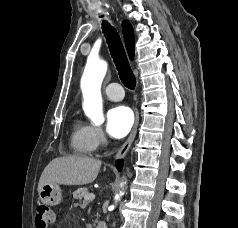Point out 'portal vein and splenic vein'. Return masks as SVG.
Wrapping results in <instances>:
<instances>
[{
    "instance_id": "18ae733b",
    "label": "portal vein and splenic vein",
    "mask_w": 238,
    "mask_h": 228,
    "mask_svg": "<svg viewBox=\"0 0 238 228\" xmlns=\"http://www.w3.org/2000/svg\"><path fill=\"white\" fill-rule=\"evenodd\" d=\"M94 198H95V195L92 194V193L87 194V195L84 197V199H85L86 201H92Z\"/></svg>"
}]
</instances>
